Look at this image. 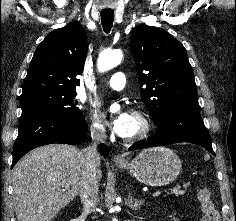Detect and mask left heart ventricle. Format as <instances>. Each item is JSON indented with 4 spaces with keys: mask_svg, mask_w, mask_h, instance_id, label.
I'll return each mask as SVG.
<instances>
[{
    "mask_svg": "<svg viewBox=\"0 0 236 221\" xmlns=\"http://www.w3.org/2000/svg\"><path fill=\"white\" fill-rule=\"evenodd\" d=\"M140 130V122L139 120L132 115L131 124L126 137L132 136L136 134Z\"/></svg>",
    "mask_w": 236,
    "mask_h": 221,
    "instance_id": "1",
    "label": "left heart ventricle"
}]
</instances>
